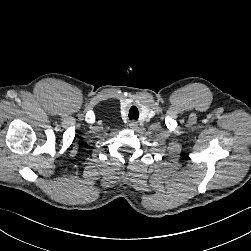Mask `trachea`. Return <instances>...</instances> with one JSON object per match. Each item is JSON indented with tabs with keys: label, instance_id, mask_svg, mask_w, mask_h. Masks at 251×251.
<instances>
[{
	"label": "trachea",
	"instance_id": "obj_1",
	"mask_svg": "<svg viewBox=\"0 0 251 251\" xmlns=\"http://www.w3.org/2000/svg\"><path fill=\"white\" fill-rule=\"evenodd\" d=\"M129 114H130V113H129ZM132 119H137V118L133 117Z\"/></svg>",
	"mask_w": 251,
	"mask_h": 251
}]
</instances>
